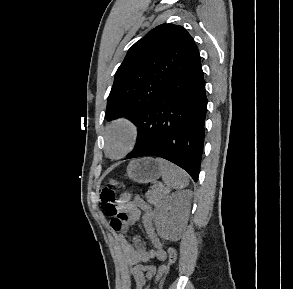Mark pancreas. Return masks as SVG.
Wrapping results in <instances>:
<instances>
[{
    "mask_svg": "<svg viewBox=\"0 0 293 289\" xmlns=\"http://www.w3.org/2000/svg\"><path fill=\"white\" fill-rule=\"evenodd\" d=\"M166 196V191L161 188H153L146 193V199L151 204H158Z\"/></svg>",
    "mask_w": 293,
    "mask_h": 289,
    "instance_id": "pancreas-1",
    "label": "pancreas"
}]
</instances>
